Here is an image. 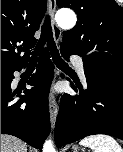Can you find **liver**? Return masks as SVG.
I'll return each instance as SVG.
<instances>
[{"label":"liver","mask_w":123,"mask_h":152,"mask_svg":"<svg viewBox=\"0 0 123 152\" xmlns=\"http://www.w3.org/2000/svg\"><path fill=\"white\" fill-rule=\"evenodd\" d=\"M1 152H27V145L14 136L1 134Z\"/></svg>","instance_id":"liver-1"}]
</instances>
